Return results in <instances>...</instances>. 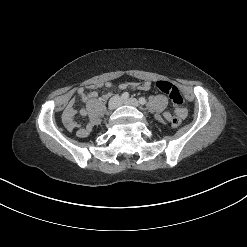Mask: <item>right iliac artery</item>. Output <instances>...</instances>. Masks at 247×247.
<instances>
[{
    "label": "right iliac artery",
    "instance_id": "82829eb1",
    "mask_svg": "<svg viewBox=\"0 0 247 247\" xmlns=\"http://www.w3.org/2000/svg\"><path fill=\"white\" fill-rule=\"evenodd\" d=\"M128 98H129V93H128V92L122 93L121 99L126 100V99H128Z\"/></svg>",
    "mask_w": 247,
    "mask_h": 247
}]
</instances>
